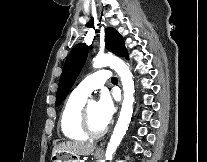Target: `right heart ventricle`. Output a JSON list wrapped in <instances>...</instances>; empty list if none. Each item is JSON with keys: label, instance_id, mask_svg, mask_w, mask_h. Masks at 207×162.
<instances>
[{"label": "right heart ventricle", "instance_id": "1", "mask_svg": "<svg viewBox=\"0 0 207 162\" xmlns=\"http://www.w3.org/2000/svg\"><path fill=\"white\" fill-rule=\"evenodd\" d=\"M87 96L73 91L66 100L59 119V127L62 134L71 140L83 141L87 136L79 127V116Z\"/></svg>", "mask_w": 207, "mask_h": 162}]
</instances>
